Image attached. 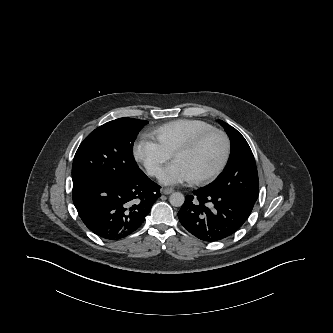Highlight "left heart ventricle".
Segmentation results:
<instances>
[{"instance_id": "1", "label": "left heart ventricle", "mask_w": 333, "mask_h": 333, "mask_svg": "<svg viewBox=\"0 0 333 333\" xmlns=\"http://www.w3.org/2000/svg\"><path fill=\"white\" fill-rule=\"evenodd\" d=\"M225 144L219 135H212L191 152L178 155L175 162L180 163L192 178L206 176L213 172L224 156Z\"/></svg>"}]
</instances>
